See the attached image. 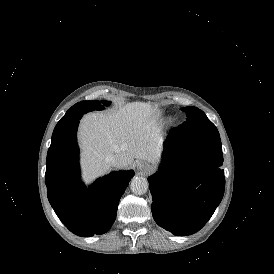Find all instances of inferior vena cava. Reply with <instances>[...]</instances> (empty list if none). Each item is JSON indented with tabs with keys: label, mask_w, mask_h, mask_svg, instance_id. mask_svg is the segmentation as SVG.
<instances>
[{
	"label": "inferior vena cava",
	"mask_w": 274,
	"mask_h": 274,
	"mask_svg": "<svg viewBox=\"0 0 274 274\" xmlns=\"http://www.w3.org/2000/svg\"><path fill=\"white\" fill-rule=\"evenodd\" d=\"M106 163H108L111 167H119L120 161L116 155H108L105 158Z\"/></svg>",
	"instance_id": "obj_1"
}]
</instances>
